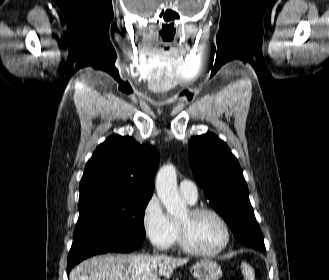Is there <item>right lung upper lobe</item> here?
<instances>
[{
  "instance_id": "1",
  "label": "right lung upper lobe",
  "mask_w": 329,
  "mask_h": 280,
  "mask_svg": "<svg viewBox=\"0 0 329 280\" xmlns=\"http://www.w3.org/2000/svg\"><path fill=\"white\" fill-rule=\"evenodd\" d=\"M159 153L132 137L111 135L87 162L79 202L119 196H152Z\"/></svg>"
}]
</instances>
